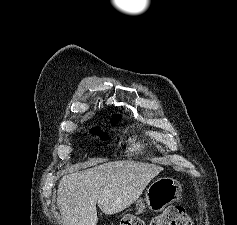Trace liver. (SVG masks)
<instances>
[{
	"instance_id": "1",
	"label": "liver",
	"mask_w": 237,
	"mask_h": 225,
	"mask_svg": "<svg viewBox=\"0 0 237 225\" xmlns=\"http://www.w3.org/2000/svg\"><path fill=\"white\" fill-rule=\"evenodd\" d=\"M162 171L154 164L117 161L63 176L57 198L63 225H96V204L106 215L125 210Z\"/></svg>"
}]
</instances>
